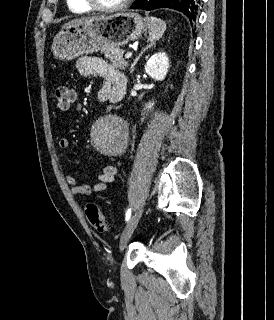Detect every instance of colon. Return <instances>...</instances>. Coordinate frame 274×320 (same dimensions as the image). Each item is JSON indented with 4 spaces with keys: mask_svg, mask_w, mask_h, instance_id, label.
<instances>
[{
    "mask_svg": "<svg viewBox=\"0 0 274 320\" xmlns=\"http://www.w3.org/2000/svg\"><path fill=\"white\" fill-rule=\"evenodd\" d=\"M53 98L59 111H66L73 102V90L67 85L60 84L53 88ZM85 213L90 224L99 232H107L110 226L105 220L101 208L96 203H89L85 207Z\"/></svg>",
    "mask_w": 274,
    "mask_h": 320,
    "instance_id": "5ec220e1",
    "label": "colon"
}]
</instances>
